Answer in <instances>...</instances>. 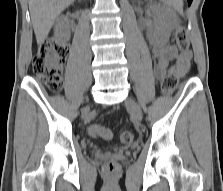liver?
<instances>
[{
    "label": "liver",
    "instance_id": "1",
    "mask_svg": "<svg viewBox=\"0 0 223 191\" xmlns=\"http://www.w3.org/2000/svg\"><path fill=\"white\" fill-rule=\"evenodd\" d=\"M75 0H29L31 20L38 45L48 36L55 19Z\"/></svg>",
    "mask_w": 223,
    "mask_h": 191
}]
</instances>
